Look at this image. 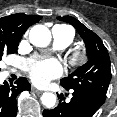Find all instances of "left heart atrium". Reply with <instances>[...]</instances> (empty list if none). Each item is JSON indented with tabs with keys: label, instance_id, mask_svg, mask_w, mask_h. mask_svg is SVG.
Returning a JSON list of instances; mask_svg holds the SVG:
<instances>
[{
	"label": "left heart atrium",
	"instance_id": "obj_1",
	"mask_svg": "<svg viewBox=\"0 0 117 117\" xmlns=\"http://www.w3.org/2000/svg\"><path fill=\"white\" fill-rule=\"evenodd\" d=\"M26 70L31 80L40 86L48 84L63 73V67L56 59L30 60L26 65Z\"/></svg>",
	"mask_w": 117,
	"mask_h": 117
}]
</instances>
